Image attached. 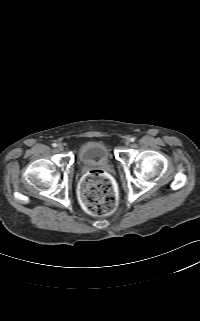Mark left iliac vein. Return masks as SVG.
<instances>
[{
  "instance_id": "1",
  "label": "left iliac vein",
  "mask_w": 200,
  "mask_h": 321,
  "mask_svg": "<svg viewBox=\"0 0 200 321\" xmlns=\"http://www.w3.org/2000/svg\"><path fill=\"white\" fill-rule=\"evenodd\" d=\"M130 143H131L130 139H126V140H125V144H126L127 146L130 145Z\"/></svg>"
}]
</instances>
